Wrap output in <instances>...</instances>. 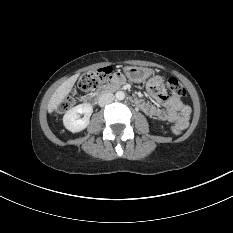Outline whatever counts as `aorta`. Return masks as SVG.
Here are the masks:
<instances>
[{
    "label": "aorta",
    "mask_w": 233,
    "mask_h": 233,
    "mask_svg": "<svg viewBox=\"0 0 233 233\" xmlns=\"http://www.w3.org/2000/svg\"><path fill=\"white\" fill-rule=\"evenodd\" d=\"M115 97L117 100H124L125 93L123 91H118V92H116Z\"/></svg>",
    "instance_id": "aorta-1"
}]
</instances>
